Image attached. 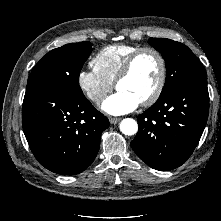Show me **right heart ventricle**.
Here are the masks:
<instances>
[{"instance_id":"1","label":"right heart ventricle","mask_w":221,"mask_h":221,"mask_svg":"<svg viewBox=\"0 0 221 221\" xmlns=\"http://www.w3.org/2000/svg\"><path fill=\"white\" fill-rule=\"evenodd\" d=\"M134 44H112L98 51L91 61L93 69L114 83L130 54L139 49Z\"/></svg>"}]
</instances>
